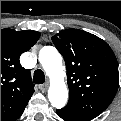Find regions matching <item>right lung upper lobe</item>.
<instances>
[{"label": "right lung upper lobe", "instance_id": "1", "mask_svg": "<svg viewBox=\"0 0 121 121\" xmlns=\"http://www.w3.org/2000/svg\"><path fill=\"white\" fill-rule=\"evenodd\" d=\"M33 30L1 29V121H15L21 116L34 92L30 70L19 58L39 39Z\"/></svg>", "mask_w": 121, "mask_h": 121}]
</instances>
